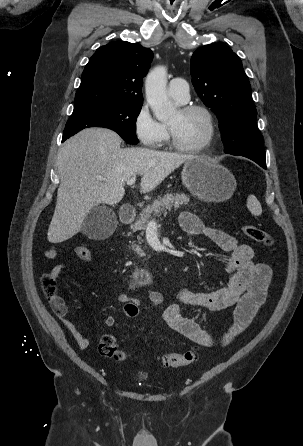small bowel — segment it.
<instances>
[{"mask_svg": "<svg viewBox=\"0 0 303 446\" xmlns=\"http://www.w3.org/2000/svg\"><path fill=\"white\" fill-rule=\"evenodd\" d=\"M179 223L182 230L188 235L206 237L230 254L225 268L228 283L219 289L204 292H195L187 288L179 289L176 293L177 302L165 309L164 319L171 329L191 341L206 347L228 345L249 326L256 312L265 302L272 278V269L266 263L254 260V251L250 245L241 244L234 236L204 224L190 212H182ZM45 257L48 259L55 258L56 250L52 247L47 249ZM63 269V265L55 266L51 271L52 276L57 280ZM137 285L143 286L145 284L138 283ZM147 297L148 305H143L140 299L130 297L124 293L118 294L116 299L123 304L124 317L133 319L143 312L159 306L163 301V295L153 289L147 290ZM51 305L79 348H87L90 342L68 319L71 311L63 299L59 298L56 302H51ZM184 307L211 312L233 307V323L228 332L216 338L203 325L188 317ZM115 322V317L108 315L103 318L102 326L111 328L115 325Z\"/></svg>", "mask_w": 303, "mask_h": 446, "instance_id": "obj_1", "label": "small bowel"}]
</instances>
